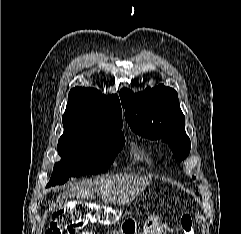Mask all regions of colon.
<instances>
[{"label":"colon","mask_w":241,"mask_h":234,"mask_svg":"<svg viewBox=\"0 0 241 234\" xmlns=\"http://www.w3.org/2000/svg\"><path fill=\"white\" fill-rule=\"evenodd\" d=\"M117 218L116 212L109 207L84 201H69L54 214L46 234H76L88 223L110 225L116 222ZM180 226L183 234H195L189 214L181 217Z\"/></svg>","instance_id":"colon-1"}]
</instances>
